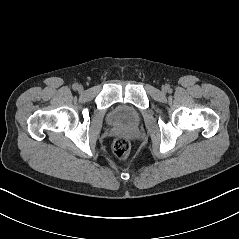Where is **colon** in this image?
<instances>
[{"mask_svg": "<svg viewBox=\"0 0 239 239\" xmlns=\"http://www.w3.org/2000/svg\"><path fill=\"white\" fill-rule=\"evenodd\" d=\"M130 142L124 137L116 138L112 143V152L119 158H125L130 152Z\"/></svg>", "mask_w": 239, "mask_h": 239, "instance_id": "1", "label": "colon"}]
</instances>
